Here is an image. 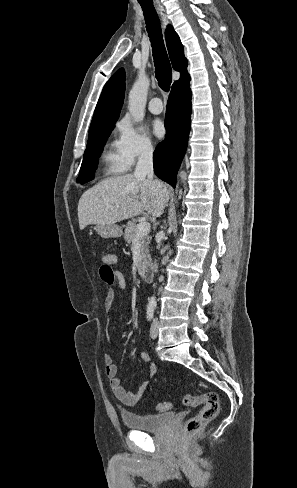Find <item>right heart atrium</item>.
I'll return each instance as SVG.
<instances>
[{"mask_svg":"<svg viewBox=\"0 0 297 488\" xmlns=\"http://www.w3.org/2000/svg\"><path fill=\"white\" fill-rule=\"evenodd\" d=\"M118 129V151L127 167L137 160L153 156L155 145L151 138L142 130L136 128L129 120H120Z\"/></svg>","mask_w":297,"mask_h":488,"instance_id":"1","label":"right heart atrium"}]
</instances>
